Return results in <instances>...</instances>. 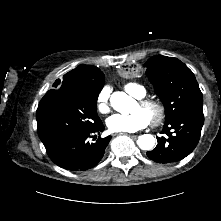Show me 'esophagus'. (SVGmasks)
<instances>
[{
	"label": "esophagus",
	"instance_id": "obj_1",
	"mask_svg": "<svg viewBox=\"0 0 221 221\" xmlns=\"http://www.w3.org/2000/svg\"><path fill=\"white\" fill-rule=\"evenodd\" d=\"M119 134H123V133H119ZM118 133H115V134H113V136H117V135H119ZM129 136H131V137H135L136 135H134V134H129Z\"/></svg>",
	"mask_w": 221,
	"mask_h": 221
}]
</instances>
